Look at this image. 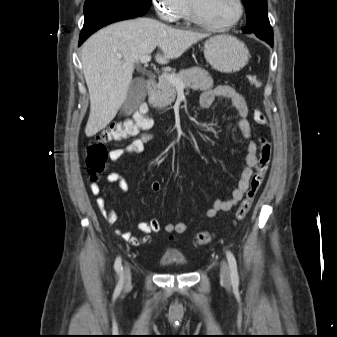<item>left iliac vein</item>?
<instances>
[{
	"instance_id": "obj_1",
	"label": "left iliac vein",
	"mask_w": 337,
	"mask_h": 337,
	"mask_svg": "<svg viewBox=\"0 0 337 337\" xmlns=\"http://www.w3.org/2000/svg\"><path fill=\"white\" fill-rule=\"evenodd\" d=\"M220 278H221V281L225 285H229V283H230V270H229L228 264L225 261H223L222 264H221Z\"/></svg>"
}]
</instances>
